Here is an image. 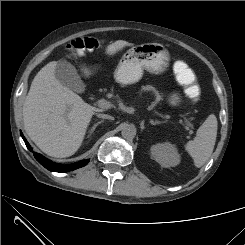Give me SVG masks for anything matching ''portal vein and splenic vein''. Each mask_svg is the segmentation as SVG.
<instances>
[{
	"label": "portal vein and splenic vein",
	"instance_id": "portal-vein-and-splenic-vein-1",
	"mask_svg": "<svg viewBox=\"0 0 245 245\" xmlns=\"http://www.w3.org/2000/svg\"><path fill=\"white\" fill-rule=\"evenodd\" d=\"M98 106L102 109H109L112 107V104L109 101H106L104 99L98 100ZM185 122L187 125L191 126V123L185 119Z\"/></svg>",
	"mask_w": 245,
	"mask_h": 245
}]
</instances>
